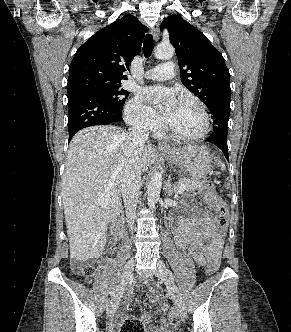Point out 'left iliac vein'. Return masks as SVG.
<instances>
[{
	"label": "left iliac vein",
	"instance_id": "left-iliac-vein-1",
	"mask_svg": "<svg viewBox=\"0 0 291 332\" xmlns=\"http://www.w3.org/2000/svg\"><path fill=\"white\" fill-rule=\"evenodd\" d=\"M155 275L164 281V283L166 284V286L170 292V295L176 305V308H177V311H178L180 317L182 319H185L187 316V312H186L184 300H183V298L180 294V291H179L178 287L176 286L173 278L170 276L166 266L160 260L157 262V270L155 272Z\"/></svg>",
	"mask_w": 291,
	"mask_h": 332
}]
</instances>
